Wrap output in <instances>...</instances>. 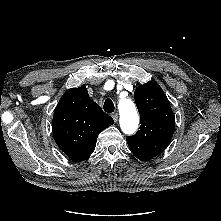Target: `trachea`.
I'll return each instance as SVG.
<instances>
[{"label": "trachea", "instance_id": "1", "mask_svg": "<svg viewBox=\"0 0 221 221\" xmlns=\"http://www.w3.org/2000/svg\"><path fill=\"white\" fill-rule=\"evenodd\" d=\"M103 109L107 113L114 112V103L111 99H106L103 105Z\"/></svg>", "mask_w": 221, "mask_h": 221}]
</instances>
